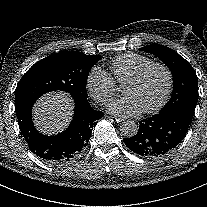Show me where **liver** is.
Segmentation results:
<instances>
[{
    "label": "liver",
    "instance_id": "obj_1",
    "mask_svg": "<svg viewBox=\"0 0 207 207\" xmlns=\"http://www.w3.org/2000/svg\"><path fill=\"white\" fill-rule=\"evenodd\" d=\"M74 108V101L68 93H46L33 105L34 126L42 134L49 136L61 133L72 121Z\"/></svg>",
    "mask_w": 207,
    "mask_h": 207
}]
</instances>
